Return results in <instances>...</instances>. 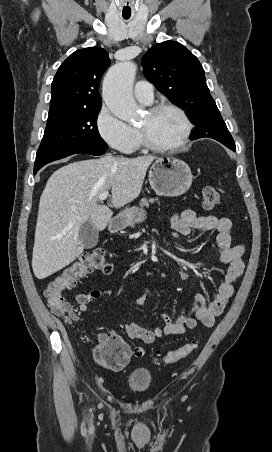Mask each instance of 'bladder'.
Here are the masks:
<instances>
[{"label":"bladder","instance_id":"bladder-1","mask_svg":"<svg viewBox=\"0 0 272 452\" xmlns=\"http://www.w3.org/2000/svg\"><path fill=\"white\" fill-rule=\"evenodd\" d=\"M152 384V374L144 368L132 369L127 377L128 387L135 392H145Z\"/></svg>","mask_w":272,"mask_h":452}]
</instances>
